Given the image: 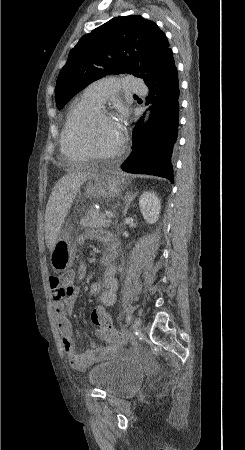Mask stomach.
I'll list each match as a JSON object with an SVG mask.
<instances>
[{"label": "stomach", "instance_id": "1", "mask_svg": "<svg viewBox=\"0 0 245 450\" xmlns=\"http://www.w3.org/2000/svg\"><path fill=\"white\" fill-rule=\"evenodd\" d=\"M126 185V179L117 172H97L94 176L88 178L86 185L83 187L84 192L79 194V199L82 195L86 198L117 197ZM72 230L73 227L67 224L66 228L58 236L54 248L51 251V266L57 272L65 271L73 265L75 248L71 240Z\"/></svg>", "mask_w": 245, "mask_h": 450}]
</instances>
